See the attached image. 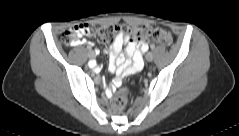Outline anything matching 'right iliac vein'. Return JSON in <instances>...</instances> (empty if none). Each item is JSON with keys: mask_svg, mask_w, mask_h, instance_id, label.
<instances>
[{"mask_svg": "<svg viewBox=\"0 0 239 136\" xmlns=\"http://www.w3.org/2000/svg\"><path fill=\"white\" fill-rule=\"evenodd\" d=\"M88 55L90 58H95L96 56L94 51H92L91 53H88Z\"/></svg>", "mask_w": 239, "mask_h": 136, "instance_id": "right-iliac-vein-1", "label": "right iliac vein"}]
</instances>
